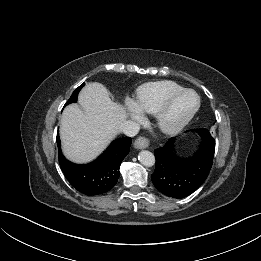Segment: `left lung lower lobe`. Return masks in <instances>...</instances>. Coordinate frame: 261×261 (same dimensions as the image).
<instances>
[{"mask_svg": "<svg viewBox=\"0 0 261 261\" xmlns=\"http://www.w3.org/2000/svg\"><path fill=\"white\" fill-rule=\"evenodd\" d=\"M196 131L202 141L192 157H183L177 152L175 138H170L163 147L154 150L156 166L151 179L160 193L172 198H184L206 180L213 163L215 139L208 130Z\"/></svg>", "mask_w": 261, "mask_h": 261, "instance_id": "0a47b994", "label": "left lung lower lobe"}]
</instances>
